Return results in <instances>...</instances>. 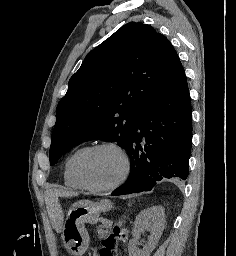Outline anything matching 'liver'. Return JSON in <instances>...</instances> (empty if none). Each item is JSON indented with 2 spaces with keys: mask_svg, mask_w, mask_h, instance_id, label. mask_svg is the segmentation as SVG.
I'll use <instances>...</instances> for the list:
<instances>
[{
  "mask_svg": "<svg viewBox=\"0 0 236 256\" xmlns=\"http://www.w3.org/2000/svg\"><path fill=\"white\" fill-rule=\"evenodd\" d=\"M66 196H79L78 192H65ZM58 196H60L58 190H47L45 192V202L47 204V210L50 218L56 216V210L59 206Z\"/></svg>",
  "mask_w": 236,
  "mask_h": 256,
  "instance_id": "obj_1",
  "label": "liver"
}]
</instances>
